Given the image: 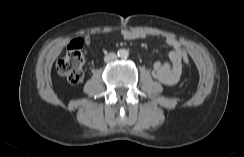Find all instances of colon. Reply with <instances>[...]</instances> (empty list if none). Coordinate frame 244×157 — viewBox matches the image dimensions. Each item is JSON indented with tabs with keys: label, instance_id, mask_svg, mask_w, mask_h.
Masks as SVG:
<instances>
[{
	"label": "colon",
	"instance_id": "1",
	"mask_svg": "<svg viewBox=\"0 0 244 157\" xmlns=\"http://www.w3.org/2000/svg\"><path fill=\"white\" fill-rule=\"evenodd\" d=\"M83 42L76 39L70 43L65 55L57 62V71L71 83H79L83 79V64L85 55L83 53ZM183 62L188 65L190 58L187 53L182 56Z\"/></svg>",
	"mask_w": 244,
	"mask_h": 157
}]
</instances>
